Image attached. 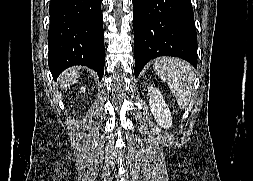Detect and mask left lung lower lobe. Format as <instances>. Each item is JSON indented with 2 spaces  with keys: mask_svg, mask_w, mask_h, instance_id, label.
Here are the masks:
<instances>
[{
  "mask_svg": "<svg viewBox=\"0 0 253 181\" xmlns=\"http://www.w3.org/2000/svg\"><path fill=\"white\" fill-rule=\"evenodd\" d=\"M135 77L159 56L197 67V35L190 0H133Z\"/></svg>",
  "mask_w": 253,
  "mask_h": 181,
  "instance_id": "0a47b994",
  "label": "left lung lower lobe"
}]
</instances>
